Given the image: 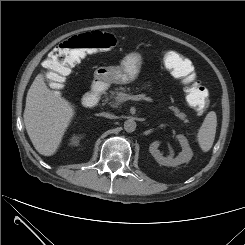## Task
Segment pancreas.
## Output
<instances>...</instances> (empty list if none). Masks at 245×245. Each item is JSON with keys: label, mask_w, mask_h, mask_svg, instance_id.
Masks as SVG:
<instances>
[{"label": "pancreas", "mask_w": 245, "mask_h": 245, "mask_svg": "<svg viewBox=\"0 0 245 245\" xmlns=\"http://www.w3.org/2000/svg\"><path fill=\"white\" fill-rule=\"evenodd\" d=\"M126 90H129V89L120 87V88H115L114 90H110L109 95L106 93L105 99L103 100L104 101L103 104H109L113 107L117 106L118 105V100H117L118 95L120 93L125 92ZM169 109L172 110L175 116L178 117L179 119L183 120L184 122L188 121L186 119L185 113L180 112V110L177 107L170 106Z\"/></svg>", "instance_id": "pancreas-1"}]
</instances>
